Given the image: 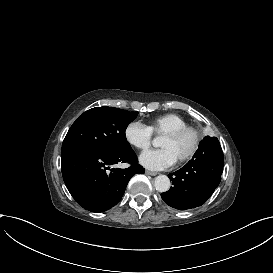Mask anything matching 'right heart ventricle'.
Returning <instances> with one entry per match:
<instances>
[{
  "mask_svg": "<svg viewBox=\"0 0 273 273\" xmlns=\"http://www.w3.org/2000/svg\"><path fill=\"white\" fill-rule=\"evenodd\" d=\"M144 125L149 129V131L152 134L161 135L162 133L166 131L189 125V122L185 117L179 114L166 113V114L151 118Z\"/></svg>",
  "mask_w": 273,
  "mask_h": 273,
  "instance_id": "1",
  "label": "right heart ventricle"
}]
</instances>
